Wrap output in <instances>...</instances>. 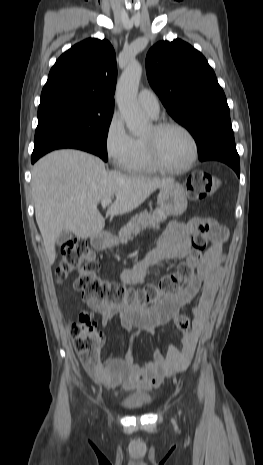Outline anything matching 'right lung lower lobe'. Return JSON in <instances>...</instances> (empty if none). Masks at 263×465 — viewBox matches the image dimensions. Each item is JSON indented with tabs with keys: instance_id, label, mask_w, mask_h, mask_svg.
<instances>
[{
	"instance_id": "1",
	"label": "right lung lower lobe",
	"mask_w": 263,
	"mask_h": 465,
	"mask_svg": "<svg viewBox=\"0 0 263 465\" xmlns=\"http://www.w3.org/2000/svg\"><path fill=\"white\" fill-rule=\"evenodd\" d=\"M61 148H74V149L87 151V152H90V153H93V154L97 155L95 150L91 146H89L88 144H86V143H84L82 141H79V140H76V139H62V140L53 142V143L45 146L41 151H39L37 153L33 152L32 157H31V162L34 163L40 157L45 155L46 153H48V152H50L52 150L61 149Z\"/></svg>"
}]
</instances>
